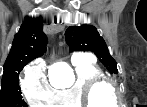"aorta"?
<instances>
[{"mask_svg": "<svg viewBox=\"0 0 147 107\" xmlns=\"http://www.w3.org/2000/svg\"><path fill=\"white\" fill-rule=\"evenodd\" d=\"M49 73L60 74V85H70L73 82V74L70 66L65 62H59L49 68Z\"/></svg>", "mask_w": 147, "mask_h": 107, "instance_id": "1", "label": "aorta"}]
</instances>
